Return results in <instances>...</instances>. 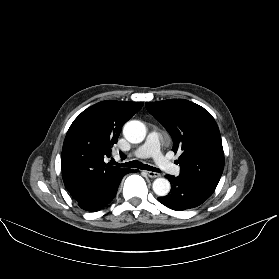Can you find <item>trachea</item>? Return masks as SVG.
<instances>
[{
    "instance_id": "1",
    "label": "trachea",
    "mask_w": 279,
    "mask_h": 279,
    "mask_svg": "<svg viewBox=\"0 0 279 279\" xmlns=\"http://www.w3.org/2000/svg\"><path fill=\"white\" fill-rule=\"evenodd\" d=\"M114 165L120 166V167H129V168H139L142 170H149V171H153V172H160V169L156 168V167H152L146 164H143L141 162H139L138 160H133L127 163H116L113 162Z\"/></svg>"
}]
</instances>
